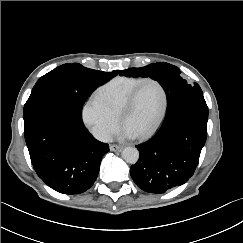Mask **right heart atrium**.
<instances>
[{
    "mask_svg": "<svg viewBox=\"0 0 243 243\" xmlns=\"http://www.w3.org/2000/svg\"><path fill=\"white\" fill-rule=\"evenodd\" d=\"M82 117L91 133L99 140H107L115 131L119 119L95 93L85 102Z\"/></svg>",
    "mask_w": 243,
    "mask_h": 243,
    "instance_id": "obj_1",
    "label": "right heart atrium"
}]
</instances>
